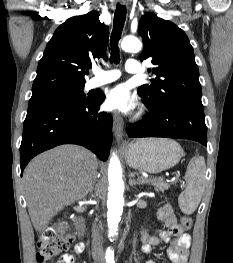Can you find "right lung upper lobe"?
Instances as JSON below:
<instances>
[{"instance_id":"obj_1","label":"right lung upper lobe","mask_w":233,"mask_h":263,"mask_svg":"<svg viewBox=\"0 0 233 263\" xmlns=\"http://www.w3.org/2000/svg\"><path fill=\"white\" fill-rule=\"evenodd\" d=\"M109 29L91 11L61 24L48 42L37 67L32 96L72 89L85 84V69L105 55Z\"/></svg>"}]
</instances>
